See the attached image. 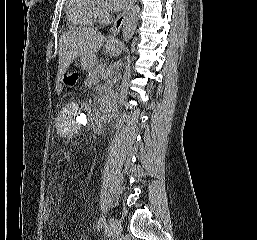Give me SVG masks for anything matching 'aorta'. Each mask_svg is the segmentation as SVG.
I'll return each instance as SVG.
<instances>
[{
    "label": "aorta",
    "mask_w": 257,
    "mask_h": 240,
    "mask_svg": "<svg viewBox=\"0 0 257 240\" xmlns=\"http://www.w3.org/2000/svg\"><path fill=\"white\" fill-rule=\"evenodd\" d=\"M140 17V7L134 5L127 13L122 27L123 39L128 43L134 35Z\"/></svg>",
    "instance_id": "1"
}]
</instances>
